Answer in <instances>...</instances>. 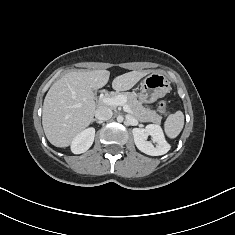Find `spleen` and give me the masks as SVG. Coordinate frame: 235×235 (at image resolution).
Listing matches in <instances>:
<instances>
[{"instance_id":"obj_1","label":"spleen","mask_w":235,"mask_h":235,"mask_svg":"<svg viewBox=\"0 0 235 235\" xmlns=\"http://www.w3.org/2000/svg\"><path fill=\"white\" fill-rule=\"evenodd\" d=\"M184 126V114L182 111H177L171 114L165 121L164 130L166 135L173 139L176 138L182 131Z\"/></svg>"}]
</instances>
